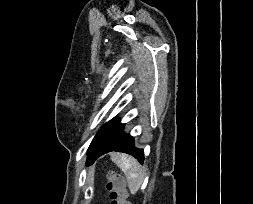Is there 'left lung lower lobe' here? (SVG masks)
<instances>
[{
	"mask_svg": "<svg viewBox=\"0 0 253 204\" xmlns=\"http://www.w3.org/2000/svg\"><path fill=\"white\" fill-rule=\"evenodd\" d=\"M123 129L124 124H120L116 117L107 122L89 146L87 164H92L99 156L111 151L130 154L143 164V150L134 147V138L124 134Z\"/></svg>",
	"mask_w": 253,
	"mask_h": 204,
	"instance_id": "0a47b994",
	"label": "left lung lower lobe"
}]
</instances>
